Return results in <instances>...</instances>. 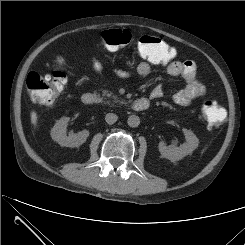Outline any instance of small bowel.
<instances>
[{
	"instance_id": "obj_1",
	"label": "small bowel",
	"mask_w": 245,
	"mask_h": 245,
	"mask_svg": "<svg viewBox=\"0 0 245 245\" xmlns=\"http://www.w3.org/2000/svg\"><path fill=\"white\" fill-rule=\"evenodd\" d=\"M102 64L93 59V70L96 72L101 71ZM117 75L122 78L130 77L128 72L117 70ZM139 78H146L151 73V65L147 62H141L136 69ZM167 73L173 77H180L184 80L185 86L176 91L172 100L174 103L181 106H190L196 100L203 97L206 93V87L197 78V67L193 61H172L167 65ZM163 95L161 86H157L151 92V98H159Z\"/></svg>"
}]
</instances>
